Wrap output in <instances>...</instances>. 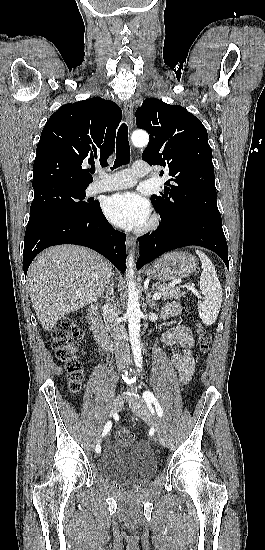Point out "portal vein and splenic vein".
<instances>
[{
    "label": "portal vein and splenic vein",
    "instance_id": "portal-vein-and-splenic-vein-1",
    "mask_svg": "<svg viewBox=\"0 0 265 550\" xmlns=\"http://www.w3.org/2000/svg\"><path fill=\"white\" fill-rule=\"evenodd\" d=\"M196 295L198 296V293L196 292ZM161 293H155L152 297L153 300H159L161 298Z\"/></svg>",
    "mask_w": 265,
    "mask_h": 550
}]
</instances>
